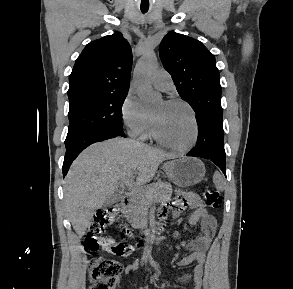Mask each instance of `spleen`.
Wrapping results in <instances>:
<instances>
[{
	"label": "spleen",
	"mask_w": 293,
	"mask_h": 289,
	"mask_svg": "<svg viewBox=\"0 0 293 289\" xmlns=\"http://www.w3.org/2000/svg\"><path fill=\"white\" fill-rule=\"evenodd\" d=\"M213 183L217 190H224L225 188V182L223 180L222 175L219 172H215L213 175Z\"/></svg>",
	"instance_id": "obj_1"
}]
</instances>
